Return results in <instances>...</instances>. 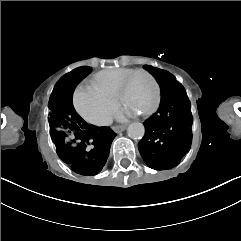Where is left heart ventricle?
Instances as JSON below:
<instances>
[{"mask_svg": "<svg viewBox=\"0 0 241 241\" xmlns=\"http://www.w3.org/2000/svg\"><path fill=\"white\" fill-rule=\"evenodd\" d=\"M154 85L145 77L130 81L123 90L126 109L134 114H141L146 111L153 103L156 96Z\"/></svg>", "mask_w": 241, "mask_h": 241, "instance_id": "b2bd125f", "label": "left heart ventricle"}]
</instances>
